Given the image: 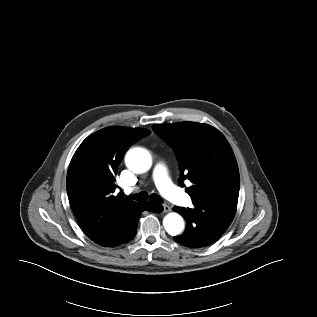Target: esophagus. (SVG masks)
<instances>
[{
    "mask_svg": "<svg viewBox=\"0 0 317 317\" xmlns=\"http://www.w3.org/2000/svg\"><path fill=\"white\" fill-rule=\"evenodd\" d=\"M171 210L170 206H168L167 204H163V211L164 212H169Z\"/></svg>",
    "mask_w": 317,
    "mask_h": 317,
    "instance_id": "1",
    "label": "esophagus"
}]
</instances>
